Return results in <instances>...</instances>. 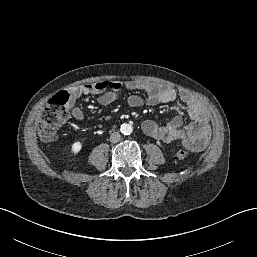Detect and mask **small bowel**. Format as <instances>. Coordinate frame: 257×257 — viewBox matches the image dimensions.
Masks as SVG:
<instances>
[{
  "label": "small bowel",
  "mask_w": 257,
  "mask_h": 257,
  "mask_svg": "<svg viewBox=\"0 0 257 257\" xmlns=\"http://www.w3.org/2000/svg\"><path fill=\"white\" fill-rule=\"evenodd\" d=\"M122 89L139 90L145 93V97L131 95L127 98L130 107H140L144 104L155 106L161 103L175 101L178 97L185 105L191 118V123L184 126L183 118L179 115L173 117L165 125H159L153 120H145L142 129L149 137L161 140L166 143L180 142L185 148L196 151L203 148L211 136L209 119L205 109L192 96L186 93L178 94L175 89L146 81L131 80L125 83L118 81H99L95 83L75 86L70 89L69 110L75 120H83L84 113L77 105V100L87 95H98L97 103L100 106H107L119 98Z\"/></svg>",
  "instance_id": "small-bowel-1"
}]
</instances>
